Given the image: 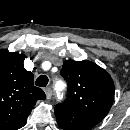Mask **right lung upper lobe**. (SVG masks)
<instances>
[{"instance_id":"right-lung-upper-lobe-1","label":"right lung upper lobe","mask_w":130,"mask_h":130,"mask_svg":"<svg viewBox=\"0 0 130 130\" xmlns=\"http://www.w3.org/2000/svg\"><path fill=\"white\" fill-rule=\"evenodd\" d=\"M24 59V54L0 50V130L23 127L36 101L46 98L23 67Z\"/></svg>"}]
</instances>
